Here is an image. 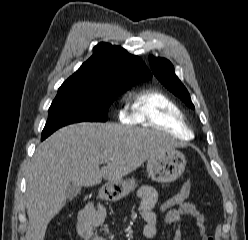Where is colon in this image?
<instances>
[{
    "mask_svg": "<svg viewBox=\"0 0 248 240\" xmlns=\"http://www.w3.org/2000/svg\"><path fill=\"white\" fill-rule=\"evenodd\" d=\"M191 184L186 182L178 193L169 197L165 202L162 203L160 210L162 212H167L171 209L179 207L181 204L185 203L186 199L190 193Z\"/></svg>",
    "mask_w": 248,
    "mask_h": 240,
    "instance_id": "colon-1",
    "label": "colon"
}]
</instances>
